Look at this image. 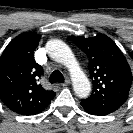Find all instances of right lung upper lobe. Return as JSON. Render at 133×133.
<instances>
[{"label":"right lung upper lobe","instance_id":"cb5924a9","mask_svg":"<svg viewBox=\"0 0 133 133\" xmlns=\"http://www.w3.org/2000/svg\"><path fill=\"white\" fill-rule=\"evenodd\" d=\"M40 35L24 32L15 37L0 57V99L21 115L41 113L55 92L39 83L43 68L34 60Z\"/></svg>","mask_w":133,"mask_h":133}]
</instances>
